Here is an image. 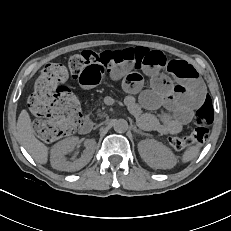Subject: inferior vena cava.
Wrapping results in <instances>:
<instances>
[{"label": "inferior vena cava", "mask_w": 231, "mask_h": 231, "mask_svg": "<svg viewBox=\"0 0 231 231\" xmlns=\"http://www.w3.org/2000/svg\"><path fill=\"white\" fill-rule=\"evenodd\" d=\"M103 126H104V125L101 123L100 125L97 124L95 127L98 129L99 127L102 128Z\"/></svg>", "instance_id": "1"}]
</instances>
